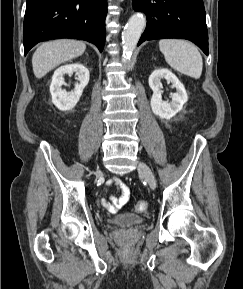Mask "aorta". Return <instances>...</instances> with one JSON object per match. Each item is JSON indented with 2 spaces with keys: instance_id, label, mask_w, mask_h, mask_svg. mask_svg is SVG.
<instances>
[{
  "instance_id": "obj_1",
  "label": "aorta",
  "mask_w": 243,
  "mask_h": 289,
  "mask_svg": "<svg viewBox=\"0 0 243 289\" xmlns=\"http://www.w3.org/2000/svg\"><path fill=\"white\" fill-rule=\"evenodd\" d=\"M146 25V18L141 13L132 15L122 33L123 61H127L136 48L142 31Z\"/></svg>"
}]
</instances>
